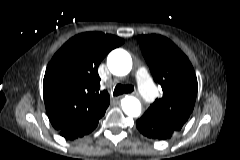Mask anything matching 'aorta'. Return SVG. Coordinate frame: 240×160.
<instances>
[{
	"mask_svg": "<svg viewBox=\"0 0 240 160\" xmlns=\"http://www.w3.org/2000/svg\"><path fill=\"white\" fill-rule=\"evenodd\" d=\"M107 66L112 74L125 76L132 69V58L127 51L115 49L107 57ZM121 107L130 117H139L141 114V103L133 96H125L121 100Z\"/></svg>",
	"mask_w": 240,
	"mask_h": 160,
	"instance_id": "obj_1",
	"label": "aorta"
}]
</instances>
